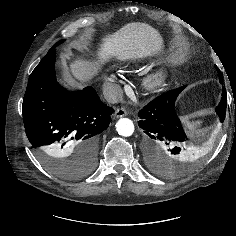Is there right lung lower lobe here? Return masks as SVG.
I'll list each match as a JSON object with an SVG mask.
<instances>
[{
  "label": "right lung lower lobe",
  "instance_id": "1",
  "mask_svg": "<svg viewBox=\"0 0 236 236\" xmlns=\"http://www.w3.org/2000/svg\"><path fill=\"white\" fill-rule=\"evenodd\" d=\"M55 50L36 66L23 99V122L28 140L44 154L67 153L79 145L78 161L95 164L98 135L114 109L101 102L91 87L69 92L56 81Z\"/></svg>",
  "mask_w": 236,
  "mask_h": 236
}]
</instances>
